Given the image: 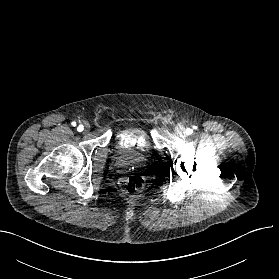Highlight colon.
I'll list each match as a JSON object with an SVG mask.
<instances>
[{
    "instance_id": "obj_1",
    "label": "colon",
    "mask_w": 279,
    "mask_h": 279,
    "mask_svg": "<svg viewBox=\"0 0 279 279\" xmlns=\"http://www.w3.org/2000/svg\"><path fill=\"white\" fill-rule=\"evenodd\" d=\"M119 184L126 194L136 196L143 190L145 181L141 176L130 175L121 178Z\"/></svg>"
}]
</instances>
